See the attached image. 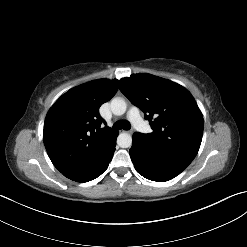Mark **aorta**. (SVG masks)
I'll return each instance as SVG.
<instances>
[{
  "label": "aorta",
  "instance_id": "obj_1",
  "mask_svg": "<svg viewBox=\"0 0 247 247\" xmlns=\"http://www.w3.org/2000/svg\"><path fill=\"white\" fill-rule=\"evenodd\" d=\"M111 111L114 115L120 116L126 112V102L120 97L113 98L110 103ZM117 144L121 148H129L132 145V137L128 133H120L117 137Z\"/></svg>",
  "mask_w": 247,
  "mask_h": 247
}]
</instances>
